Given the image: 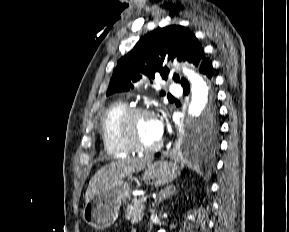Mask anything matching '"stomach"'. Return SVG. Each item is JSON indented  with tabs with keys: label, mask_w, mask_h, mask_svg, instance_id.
I'll use <instances>...</instances> for the list:
<instances>
[{
	"label": "stomach",
	"mask_w": 289,
	"mask_h": 232,
	"mask_svg": "<svg viewBox=\"0 0 289 232\" xmlns=\"http://www.w3.org/2000/svg\"><path fill=\"white\" fill-rule=\"evenodd\" d=\"M141 181L154 186L172 182L177 177V167L167 161L150 162L143 167ZM119 180L106 191L94 195L82 211L83 219L98 230L110 227L117 219L120 206L131 197L130 180Z\"/></svg>",
	"instance_id": "obj_1"
}]
</instances>
